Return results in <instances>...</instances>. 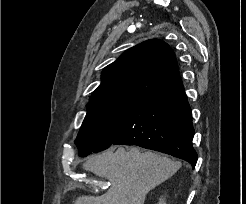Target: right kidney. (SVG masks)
Wrapping results in <instances>:
<instances>
[{
	"label": "right kidney",
	"mask_w": 246,
	"mask_h": 204,
	"mask_svg": "<svg viewBox=\"0 0 246 204\" xmlns=\"http://www.w3.org/2000/svg\"><path fill=\"white\" fill-rule=\"evenodd\" d=\"M158 204H166V203H164V202H159Z\"/></svg>",
	"instance_id": "1"
}]
</instances>
